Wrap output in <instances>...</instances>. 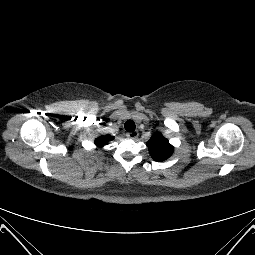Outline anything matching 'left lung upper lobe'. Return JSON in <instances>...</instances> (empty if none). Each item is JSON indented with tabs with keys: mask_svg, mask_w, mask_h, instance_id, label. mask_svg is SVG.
<instances>
[{
	"mask_svg": "<svg viewBox=\"0 0 255 255\" xmlns=\"http://www.w3.org/2000/svg\"><path fill=\"white\" fill-rule=\"evenodd\" d=\"M147 146L152 158L158 162L168 159L174 150L169 141L158 132L152 135L147 142Z\"/></svg>",
	"mask_w": 255,
	"mask_h": 255,
	"instance_id": "left-lung-upper-lobe-1",
	"label": "left lung upper lobe"
}]
</instances>
